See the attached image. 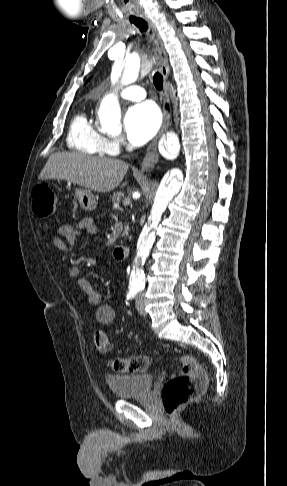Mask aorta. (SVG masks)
<instances>
[{
  "label": "aorta",
  "instance_id": "1",
  "mask_svg": "<svg viewBox=\"0 0 287 486\" xmlns=\"http://www.w3.org/2000/svg\"><path fill=\"white\" fill-rule=\"evenodd\" d=\"M115 70L120 74L119 83L121 86L129 85L134 82L139 74L140 65L138 63L128 61L123 68L116 64ZM121 110L117 102L113 100L103 101L98 112V119L102 127L106 129H113L120 127ZM167 152L171 155H177L180 150V143L177 134L173 131L167 133V138L164 142ZM181 181L176 177H172L159 188L157 197L153 204L151 213L148 217L147 223L144 225L137 243V255L135 259L136 268L131 274V283L134 285H143V271L137 263H141L149 254V251L154 243L156 235V227L161 220L162 213L166 209L168 202L180 190Z\"/></svg>",
  "mask_w": 287,
  "mask_h": 486
}]
</instances>
